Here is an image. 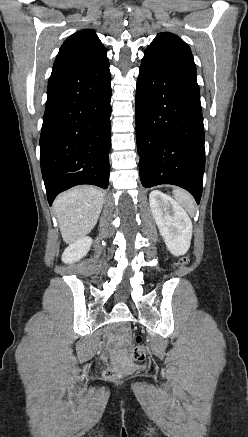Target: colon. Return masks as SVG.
Listing matches in <instances>:
<instances>
[{
    "instance_id": "1",
    "label": "colon",
    "mask_w": 248,
    "mask_h": 437,
    "mask_svg": "<svg viewBox=\"0 0 248 437\" xmlns=\"http://www.w3.org/2000/svg\"><path fill=\"white\" fill-rule=\"evenodd\" d=\"M134 342H135V346L131 350V358L135 362H141L145 358L146 349L141 344V337L140 336H138V335L135 336ZM127 372H128L127 370L121 369L115 365H111V366H108L104 370V377H105V379H107L109 381L117 382L121 378H123Z\"/></svg>"
}]
</instances>
